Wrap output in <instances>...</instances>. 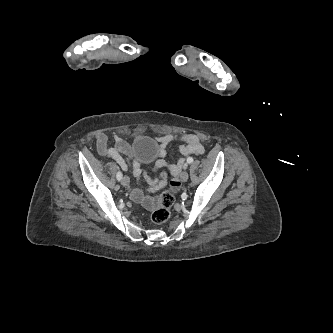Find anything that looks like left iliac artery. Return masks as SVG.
Wrapping results in <instances>:
<instances>
[{
    "label": "left iliac artery",
    "instance_id": "left-iliac-artery-1",
    "mask_svg": "<svg viewBox=\"0 0 333 333\" xmlns=\"http://www.w3.org/2000/svg\"><path fill=\"white\" fill-rule=\"evenodd\" d=\"M187 162H188L189 164L192 163V162H193V158L189 157V158L187 159Z\"/></svg>",
    "mask_w": 333,
    "mask_h": 333
}]
</instances>
